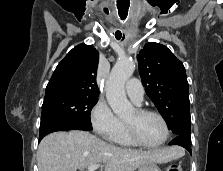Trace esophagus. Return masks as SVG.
Returning a JSON list of instances; mask_svg holds the SVG:
<instances>
[{"instance_id":"obj_1","label":"esophagus","mask_w":223,"mask_h":171,"mask_svg":"<svg viewBox=\"0 0 223 171\" xmlns=\"http://www.w3.org/2000/svg\"><path fill=\"white\" fill-rule=\"evenodd\" d=\"M119 13H120L121 18H125L126 14H127V11L126 10L122 11V10L119 9Z\"/></svg>"}]
</instances>
